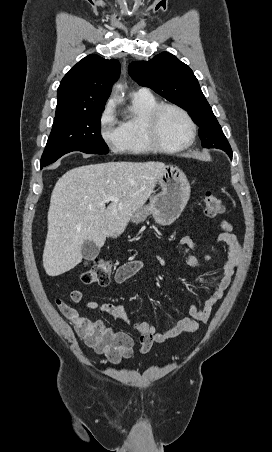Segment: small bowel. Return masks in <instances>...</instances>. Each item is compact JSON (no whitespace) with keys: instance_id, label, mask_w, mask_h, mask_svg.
I'll use <instances>...</instances> for the list:
<instances>
[{"instance_id":"small-bowel-1","label":"small bowel","mask_w":272,"mask_h":452,"mask_svg":"<svg viewBox=\"0 0 272 452\" xmlns=\"http://www.w3.org/2000/svg\"><path fill=\"white\" fill-rule=\"evenodd\" d=\"M221 228L222 232L218 235L217 241L225 250V258L222 262L221 277L216 288L200 308L194 304L191 305L189 314L179 319L169 330L158 332L153 325L145 321L134 323L133 329L139 335L141 350L143 352L148 351L154 344L164 343L180 334L197 330L200 323H205L209 320L215 305L223 298L226 289L233 279L236 268L241 263L242 248L228 222L223 221ZM179 244L186 262L194 267L199 266V259L192 254V251L197 248V243L189 235H183L179 239ZM144 267L145 262L142 260L127 261L117 268L114 280L116 283L122 284L139 273ZM83 299L82 291L73 290L71 292V300L74 303H81ZM85 306L90 310L108 313L127 327L131 325V320L122 304L88 301L85 303ZM70 308L71 312L63 313L78 336L87 345L93 347L97 352L103 353V350L98 347V344L104 337H112L126 356L132 352L133 340L127 332L109 328L101 320H93L87 316L80 315L76 309L71 306Z\"/></svg>"}]
</instances>
